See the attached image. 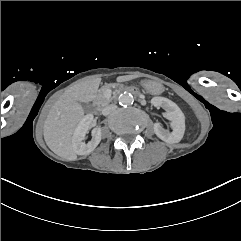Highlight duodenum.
I'll list each match as a JSON object with an SVG mask.
<instances>
[{"mask_svg":"<svg viewBox=\"0 0 241 241\" xmlns=\"http://www.w3.org/2000/svg\"><path fill=\"white\" fill-rule=\"evenodd\" d=\"M126 90L132 93H138V90L135 88H127Z\"/></svg>","mask_w":241,"mask_h":241,"instance_id":"410a0bca","label":"duodenum"}]
</instances>
